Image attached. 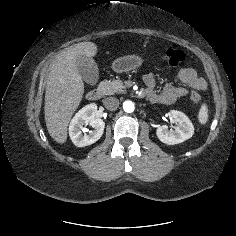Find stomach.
Returning <instances> with one entry per match:
<instances>
[{"label": "stomach", "mask_w": 236, "mask_h": 236, "mask_svg": "<svg viewBox=\"0 0 236 236\" xmlns=\"http://www.w3.org/2000/svg\"><path fill=\"white\" fill-rule=\"evenodd\" d=\"M142 62V58L138 55H127L114 60L112 69L116 73L128 72L139 68Z\"/></svg>", "instance_id": "0dacf381"}]
</instances>
